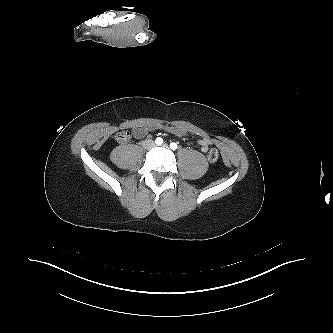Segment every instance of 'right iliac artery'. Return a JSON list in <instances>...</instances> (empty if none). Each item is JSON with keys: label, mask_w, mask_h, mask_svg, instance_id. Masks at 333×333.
Returning a JSON list of instances; mask_svg holds the SVG:
<instances>
[{"label": "right iliac artery", "mask_w": 333, "mask_h": 333, "mask_svg": "<svg viewBox=\"0 0 333 333\" xmlns=\"http://www.w3.org/2000/svg\"><path fill=\"white\" fill-rule=\"evenodd\" d=\"M155 143L157 145H161L163 143V139L161 137L156 138Z\"/></svg>", "instance_id": "obj_1"}]
</instances>
